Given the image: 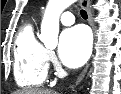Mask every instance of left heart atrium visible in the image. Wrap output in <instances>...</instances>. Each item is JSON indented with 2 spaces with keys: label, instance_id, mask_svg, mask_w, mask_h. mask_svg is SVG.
<instances>
[{
  "label": "left heart atrium",
  "instance_id": "39dd6f15",
  "mask_svg": "<svg viewBox=\"0 0 121 94\" xmlns=\"http://www.w3.org/2000/svg\"><path fill=\"white\" fill-rule=\"evenodd\" d=\"M91 51V38L83 26L65 30L60 37L59 57L69 67H80L88 59Z\"/></svg>",
  "mask_w": 121,
  "mask_h": 94
}]
</instances>
